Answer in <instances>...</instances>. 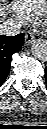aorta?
<instances>
[{"instance_id":"obj_1","label":"aorta","mask_w":47,"mask_h":129,"mask_svg":"<svg viewBox=\"0 0 47 129\" xmlns=\"http://www.w3.org/2000/svg\"><path fill=\"white\" fill-rule=\"evenodd\" d=\"M33 56L39 61L47 60V41L45 39H36L31 46Z\"/></svg>"}]
</instances>
